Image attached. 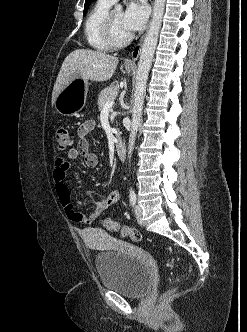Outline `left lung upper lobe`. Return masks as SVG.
I'll return each mask as SVG.
<instances>
[{
  "instance_id": "1",
  "label": "left lung upper lobe",
  "mask_w": 247,
  "mask_h": 332,
  "mask_svg": "<svg viewBox=\"0 0 247 332\" xmlns=\"http://www.w3.org/2000/svg\"><path fill=\"white\" fill-rule=\"evenodd\" d=\"M92 1H93V0H86V1H85V5H84V13H83V15L86 14V12H87V10H88V7H89V5L92 3Z\"/></svg>"
}]
</instances>
